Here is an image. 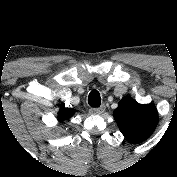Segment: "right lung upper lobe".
<instances>
[{
	"label": "right lung upper lobe",
	"mask_w": 177,
	"mask_h": 177,
	"mask_svg": "<svg viewBox=\"0 0 177 177\" xmlns=\"http://www.w3.org/2000/svg\"><path fill=\"white\" fill-rule=\"evenodd\" d=\"M64 106H65V104H63L60 107V110L58 112L59 121H63L65 119H68V118L72 117L75 113V110L73 108H66Z\"/></svg>",
	"instance_id": "right-lung-upper-lobe-1"
}]
</instances>
